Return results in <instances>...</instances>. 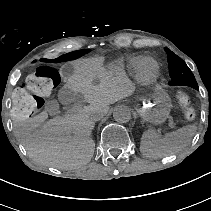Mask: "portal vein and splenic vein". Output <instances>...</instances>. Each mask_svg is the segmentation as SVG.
<instances>
[{
    "label": "portal vein and splenic vein",
    "mask_w": 211,
    "mask_h": 211,
    "mask_svg": "<svg viewBox=\"0 0 211 211\" xmlns=\"http://www.w3.org/2000/svg\"><path fill=\"white\" fill-rule=\"evenodd\" d=\"M170 127H171V128H173L174 126H173V125H171ZM174 128H175L176 130L178 129L176 126H175Z\"/></svg>",
    "instance_id": "18ae733b"
}]
</instances>
